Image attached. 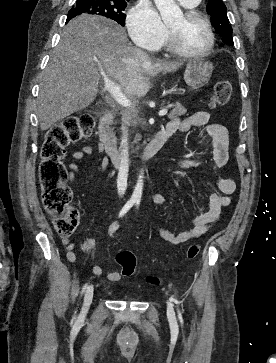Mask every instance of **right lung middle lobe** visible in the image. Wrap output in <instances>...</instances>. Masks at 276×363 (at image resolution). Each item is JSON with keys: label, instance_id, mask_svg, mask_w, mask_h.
I'll return each mask as SVG.
<instances>
[{"label": "right lung middle lobe", "instance_id": "obj_1", "mask_svg": "<svg viewBox=\"0 0 276 363\" xmlns=\"http://www.w3.org/2000/svg\"><path fill=\"white\" fill-rule=\"evenodd\" d=\"M127 3L112 0H77L75 7L68 12L67 17H75L80 14L104 16L125 25V10Z\"/></svg>", "mask_w": 276, "mask_h": 363}]
</instances>
